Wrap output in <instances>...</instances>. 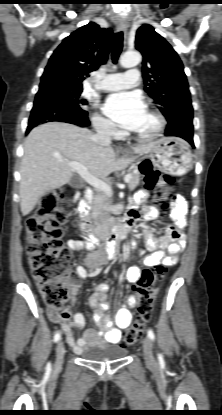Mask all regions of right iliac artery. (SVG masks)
<instances>
[{"label":"right iliac artery","mask_w":222,"mask_h":415,"mask_svg":"<svg viewBox=\"0 0 222 415\" xmlns=\"http://www.w3.org/2000/svg\"><path fill=\"white\" fill-rule=\"evenodd\" d=\"M60 337H61V334L57 332L54 336V342L59 341ZM47 367L50 368V363L47 364Z\"/></svg>","instance_id":"right-iliac-artery-1"}]
</instances>
